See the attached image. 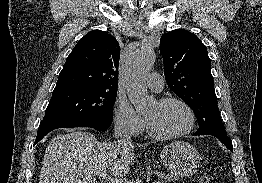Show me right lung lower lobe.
I'll use <instances>...</instances> for the list:
<instances>
[{
    "label": "right lung lower lobe",
    "mask_w": 262,
    "mask_h": 183,
    "mask_svg": "<svg viewBox=\"0 0 262 183\" xmlns=\"http://www.w3.org/2000/svg\"><path fill=\"white\" fill-rule=\"evenodd\" d=\"M112 121H88V120H71V119H57L41 122L38 128L37 138L34 145L39 142L46 134L57 128L70 127H91L98 131H106L111 125Z\"/></svg>",
    "instance_id": "obj_1"
}]
</instances>
